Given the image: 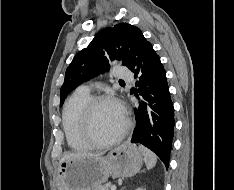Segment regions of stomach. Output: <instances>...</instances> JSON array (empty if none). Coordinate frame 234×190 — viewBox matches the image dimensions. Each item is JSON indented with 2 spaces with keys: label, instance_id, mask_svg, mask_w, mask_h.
<instances>
[{
  "label": "stomach",
  "instance_id": "obj_1",
  "mask_svg": "<svg viewBox=\"0 0 234 190\" xmlns=\"http://www.w3.org/2000/svg\"><path fill=\"white\" fill-rule=\"evenodd\" d=\"M143 163V154L135 145L125 142L105 157H79L59 164L58 190H95L109 177L135 175Z\"/></svg>",
  "mask_w": 234,
  "mask_h": 190
}]
</instances>
